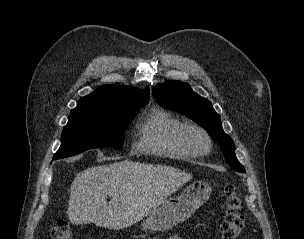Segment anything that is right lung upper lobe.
Returning a JSON list of instances; mask_svg holds the SVG:
<instances>
[{
	"instance_id": "cb5924a9",
	"label": "right lung upper lobe",
	"mask_w": 304,
	"mask_h": 239,
	"mask_svg": "<svg viewBox=\"0 0 304 239\" xmlns=\"http://www.w3.org/2000/svg\"><path fill=\"white\" fill-rule=\"evenodd\" d=\"M148 101V87L140 90L132 86L105 85L81 98L71 114L121 112L128 107H143Z\"/></svg>"
}]
</instances>
